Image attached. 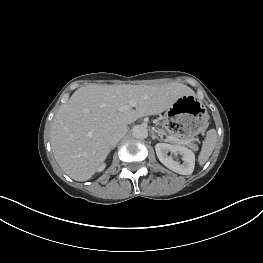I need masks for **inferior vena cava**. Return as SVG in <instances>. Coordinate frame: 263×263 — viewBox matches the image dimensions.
<instances>
[{
	"instance_id": "obj_1",
	"label": "inferior vena cava",
	"mask_w": 263,
	"mask_h": 263,
	"mask_svg": "<svg viewBox=\"0 0 263 263\" xmlns=\"http://www.w3.org/2000/svg\"><path fill=\"white\" fill-rule=\"evenodd\" d=\"M127 132V126L117 127L114 129L108 138V143L111 147L116 146V144L124 137Z\"/></svg>"
}]
</instances>
